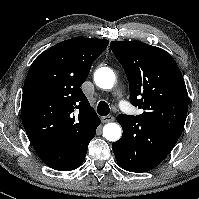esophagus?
Returning a JSON list of instances; mask_svg holds the SVG:
<instances>
[{"mask_svg":"<svg viewBox=\"0 0 199 199\" xmlns=\"http://www.w3.org/2000/svg\"><path fill=\"white\" fill-rule=\"evenodd\" d=\"M114 120H115V118L112 115H108V116L102 117V121L103 122H112Z\"/></svg>","mask_w":199,"mask_h":199,"instance_id":"1","label":"esophagus"}]
</instances>
